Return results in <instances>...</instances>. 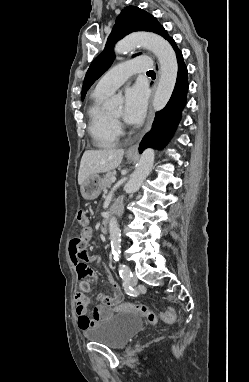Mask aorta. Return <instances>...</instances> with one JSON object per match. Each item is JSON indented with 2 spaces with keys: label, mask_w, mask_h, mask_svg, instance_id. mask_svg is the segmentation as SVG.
<instances>
[{
  "label": "aorta",
  "mask_w": 249,
  "mask_h": 382,
  "mask_svg": "<svg viewBox=\"0 0 249 382\" xmlns=\"http://www.w3.org/2000/svg\"><path fill=\"white\" fill-rule=\"evenodd\" d=\"M138 45L152 51L160 63V77L153 100L154 110L159 111L168 103L176 84L178 73L176 54L168 41L153 33H136L125 37L115 46V53L125 54ZM109 105L113 106V102H110ZM154 159L153 149L147 148L142 153L135 171L125 185L127 193H134L139 190L152 170ZM109 233L112 252L118 255L121 249V232L115 217L109 221Z\"/></svg>",
  "instance_id": "1"
}]
</instances>
